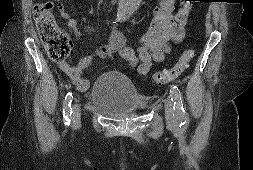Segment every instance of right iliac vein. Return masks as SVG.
I'll return each instance as SVG.
<instances>
[{
  "mask_svg": "<svg viewBox=\"0 0 253 170\" xmlns=\"http://www.w3.org/2000/svg\"><path fill=\"white\" fill-rule=\"evenodd\" d=\"M80 116H81L80 106L79 104L76 103L74 105V112L72 117V122L74 125H78L80 123Z\"/></svg>",
  "mask_w": 253,
  "mask_h": 170,
  "instance_id": "right-iliac-vein-1",
  "label": "right iliac vein"
}]
</instances>
